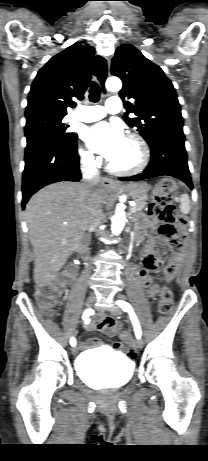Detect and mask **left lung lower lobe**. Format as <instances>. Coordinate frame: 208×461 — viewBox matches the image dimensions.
<instances>
[{"instance_id":"1","label":"left lung lower lobe","mask_w":208,"mask_h":461,"mask_svg":"<svg viewBox=\"0 0 208 461\" xmlns=\"http://www.w3.org/2000/svg\"><path fill=\"white\" fill-rule=\"evenodd\" d=\"M185 136L168 133L157 137L150 145L151 160L143 173L120 177V181H139L157 176H173L193 187L184 146Z\"/></svg>"}]
</instances>
